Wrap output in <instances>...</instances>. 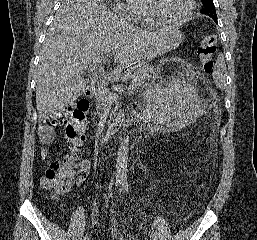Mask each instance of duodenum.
Masks as SVG:
<instances>
[{
  "mask_svg": "<svg viewBox=\"0 0 257 240\" xmlns=\"http://www.w3.org/2000/svg\"><path fill=\"white\" fill-rule=\"evenodd\" d=\"M96 93V86L91 84L89 86L86 87L85 89V95L87 97H93ZM121 120H122V115L117 116L110 124L108 131L106 132V134L103 136V138L101 139L102 143L107 142L108 140H110L119 130L120 125H121Z\"/></svg>",
  "mask_w": 257,
  "mask_h": 240,
  "instance_id": "1",
  "label": "duodenum"
}]
</instances>
